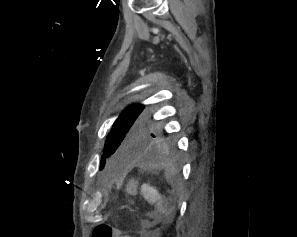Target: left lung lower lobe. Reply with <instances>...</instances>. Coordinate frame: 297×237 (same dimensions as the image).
<instances>
[{"mask_svg":"<svg viewBox=\"0 0 297 237\" xmlns=\"http://www.w3.org/2000/svg\"><path fill=\"white\" fill-rule=\"evenodd\" d=\"M166 148H169V142L163 137H159L157 141L154 142L150 152L147 155L149 157H156L157 155H160Z\"/></svg>","mask_w":297,"mask_h":237,"instance_id":"obj_1","label":"left lung lower lobe"}]
</instances>
